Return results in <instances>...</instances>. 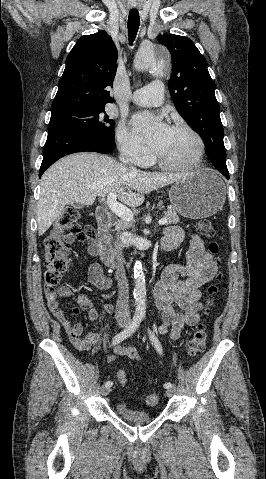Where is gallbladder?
I'll list each match as a JSON object with an SVG mask.
<instances>
[{
  "label": "gallbladder",
  "mask_w": 266,
  "mask_h": 479,
  "mask_svg": "<svg viewBox=\"0 0 266 479\" xmlns=\"http://www.w3.org/2000/svg\"><path fill=\"white\" fill-rule=\"evenodd\" d=\"M71 205H72L73 207H76V208H80V207H81V205H80V204H77V203H71Z\"/></svg>",
  "instance_id": "obj_1"
}]
</instances>
